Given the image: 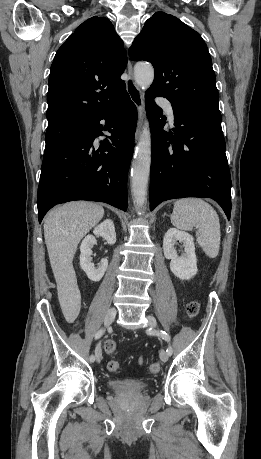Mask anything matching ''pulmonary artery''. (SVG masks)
Segmentation results:
<instances>
[{
	"mask_svg": "<svg viewBox=\"0 0 261 459\" xmlns=\"http://www.w3.org/2000/svg\"><path fill=\"white\" fill-rule=\"evenodd\" d=\"M160 105L164 108L165 112L167 113L169 119L171 121H174V113H173V108L170 104L169 101L165 100V99H161L159 101Z\"/></svg>",
	"mask_w": 261,
	"mask_h": 459,
	"instance_id": "1",
	"label": "pulmonary artery"
}]
</instances>
